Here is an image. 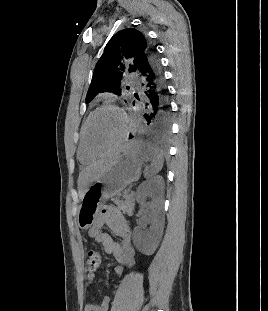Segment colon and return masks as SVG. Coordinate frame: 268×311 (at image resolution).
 <instances>
[{
	"label": "colon",
	"instance_id": "5ec220e1",
	"mask_svg": "<svg viewBox=\"0 0 268 311\" xmlns=\"http://www.w3.org/2000/svg\"><path fill=\"white\" fill-rule=\"evenodd\" d=\"M101 263V256L98 252L96 251H90L87 254V258H86V265H87V269L90 272H94L96 271Z\"/></svg>",
	"mask_w": 268,
	"mask_h": 311
}]
</instances>
